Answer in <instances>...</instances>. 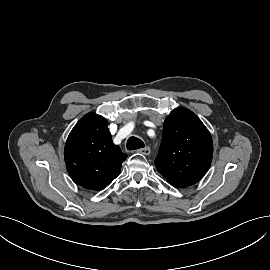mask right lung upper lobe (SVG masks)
I'll return each mask as SVG.
<instances>
[{
    "label": "right lung upper lobe",
    "instance_id": "1",
    "mask_svg": "<svg viewBox=\"0 0 270 270\" xmlns=\"http://www.w3.org/2000/svg\"><path fill=\"white\" fill-rule=\"evenodd\" d=\"M64 158L68 173L76 184L90 190H102L119 175L127 155L113 144L107 120L88 113L70 132Z\"/></svg>",
    "mask_w": 270,
    "mask_h": 270
}]
</instances>
